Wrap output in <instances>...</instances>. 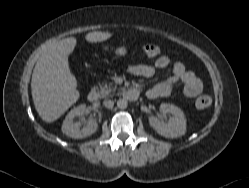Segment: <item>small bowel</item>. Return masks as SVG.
<instances>
[{"mask_svg":"<svg viewBox=\"0 0 249 188\" xmlns=\"http://www.w3.org/2000/svg\"><path fill=\"white\" fill-rule=\"evenodd\" d=\"M169 67L171 68V76L147 90L146 95L149 99L170 95L177 84L183 86L182 94L187 98H194L202 92V82L192 71L187 70L179 61L171 64L169 58L164 55L158 57L154 65H133L128 68V71L137 77L151 78L157 70Z\"/></svg>","mask_w":249,"mask_h":188,"instance_id":"obj_1","label":"small bowel"}]
</instances>
